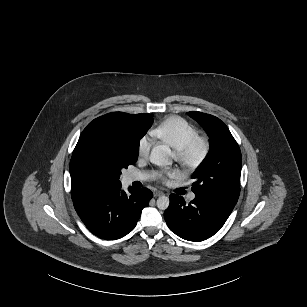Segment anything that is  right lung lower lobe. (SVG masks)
<instances>
[{"label": "right lung lower lobe", "instance_id": "right-lung-lower-lobe-1", "mask_svg": "<svg viewBox=\"0 0 307 307\" xmlns=\"http://www.w3.org/2000/svg\"><path fill=\"white\" fill-rule=\"evenodd\" d=\"M121 190L108 185L73 201L76 212L90 232L102 239H118L131 232L152 192L147 188Z\"/></svg>", "mask_w": 307, "mask_h": 307}]
</instances>
